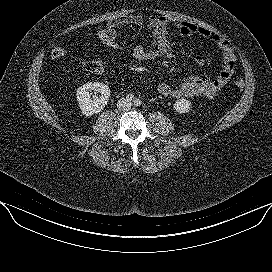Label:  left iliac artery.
Masks as SVG:
<instances>
[{"label": "left iliac artery", "instance_id": "1", "mask_svg": "<svg viewBox=\"0 0 272 272\" xmlns=\"http://www.w3.org/2000/svg\"><path fill=\"white\" fill-rule=\"evenodd\" d=\"M141 104H142V102H141L140 99H135V100H134V105L140 106Z\"/></svg>", "mask_w": 272, "mask_h": 272}]
</instances>
